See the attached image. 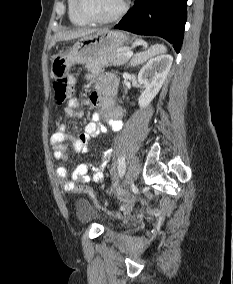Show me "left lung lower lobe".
<instances>
[{"instance_id":"1","label":"left lung lower lobe","mask_w":233,"mask_h":284,"mask_svg":"<svg viewBox=\"0 0 233 284\" xmlns=\"http://www.w3.org/2000/svg\"><path fill=\"white\" fill-rule=\"evenodd\" d=\"M187 0H135L115 28L140 35L160 36L179 53L186 23Z\"/></svg>"}]
</instances>
